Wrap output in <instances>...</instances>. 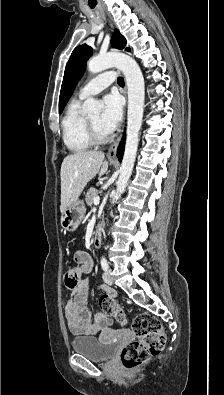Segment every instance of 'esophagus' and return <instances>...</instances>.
<instances>
[{
	"instance_id": "34e87169",
	"label": "esophagus",
	"mask_w": 224,
	"mask_h": 395,
	"mask_svg": "<svg viewBox=\"0 0 224 395\" xmlns=\"http://www.w3.org/2000/svg\"><path fill=\"white\" fill-rule=\"evenodd\" d=\"M111 25V24H110ZM112 26V25H111ZM122 134L117 138L116 141L113 142V144L110 146L107 156L109 159H114L116 157V152L118 149V146L121 142Z\"/></svg>"
}]
</instances>
